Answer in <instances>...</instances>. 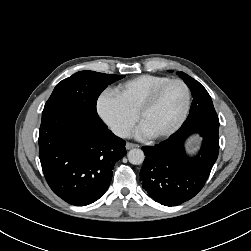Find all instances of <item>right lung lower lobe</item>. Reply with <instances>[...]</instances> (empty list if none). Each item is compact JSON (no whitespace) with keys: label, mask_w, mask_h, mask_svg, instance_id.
<instances>
[{"label":"right lung lower lobe","mask_w":251,"mask_h":251,"mask_svg":"<svg viewBox=\"0 0 251 251\" xmlns=\"http://www.w3.org/2000/svg\"><path fill=\"white\" fill-rule=\"evenodd\" d=\"M39 157L52 191L69 204L85 206L108 189L114 164L126 154L97 111L67 105L42 113Z\"/></svg>","instance_id":"98d812e1"}]
</instances>
